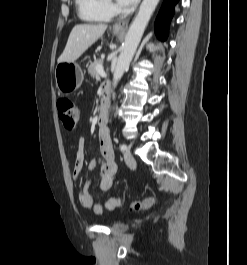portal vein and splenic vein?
Returning <instances> with one entry per match:
<instances>
[{
	"label": "portal vein and splenic vein",
	"instance_id": "1",
	"mask_svg": "<svg viewBox=\"0 0 247 265\" xmlns=\"http://www.w3.org/2000/svg\"><path fill=\"white\" fill-rule=\"evenodd\" d=\"M96 69L101 74V76H104V77L106 76V73L104 72L102 66H98Z\"/></svg>",
	"mask_w": 247,
	"mask_h": 265
}]
</instances>
